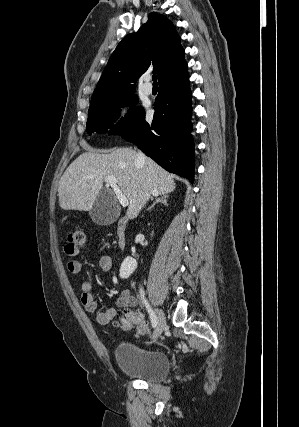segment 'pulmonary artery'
I'll use <instances>...</instances> for the list:
<instances>
[{
    "label": "pulmonary artery",
    "mask_w": 299,
    "mask_h": 427,
    "mask_svg": "<svg viewBox=\"0 0 299 427\" xmlns=\"http://www.w3.org/2000/svg\"><path fill=\"white\" fill-rule=\"evenodd\" d=\"M142 88H143V91L145 94H151L152 93L153 87L150 83V76H145Z\"/></svg>",
    "instance_id": "obj_1"
}]
</instances>
